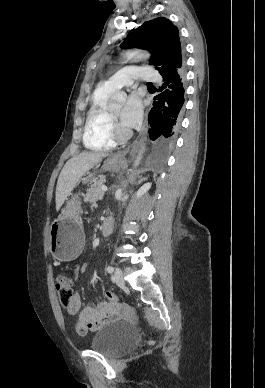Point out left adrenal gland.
<instances>
[{"label":"left adrenal gland","instance_id":"a2214340","mask_svg":"<svg viewBox=\"0 0 265 388\" xmlns=\"http://www.w3.org/2000/svg\"><path fill=\"white\" fill-rule=\"evenodd\" d=\"M143 180H146V178H141V176H140V180H139L138 184H140V182H143Z\"/></svg>","mask_w":265,"mask_h":388}]
</instances>
